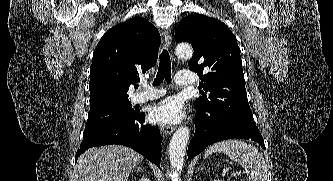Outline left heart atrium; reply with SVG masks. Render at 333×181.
<instances>
[{
    "label": "left heart atrium",
    "instance_id": "obj_1",
    "mask_svg": "<svg viewBox=\"0 0 333 181\" xmlns=\"http://www.w3.org/2000/svg\"><path fill=\"white\" fill-rule=\"evenodd\" d=\"M185 117V109L177 97H169L152 107L150 118L155 123L176 124Z\"/></svg>",
    "mask_w": 333,
    "mask_h": 181
}]
</instances>
